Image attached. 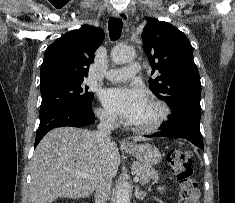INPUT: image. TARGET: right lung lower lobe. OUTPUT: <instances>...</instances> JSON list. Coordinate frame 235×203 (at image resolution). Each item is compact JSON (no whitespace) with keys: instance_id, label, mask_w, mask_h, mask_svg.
<instances>
[{"instance_id":"1","label":"right lung lower lobe","mask_w":235,"mask_h":203,"mask_svg":"<svg viewBox=\"0 0 235 203\" xmlns=\"http://www.w3.org/2000/svg\"><path fill=\"white\" fill-rule=\"evenodd\" d=\"M94 121L95 115L92 112V106L60 105L41 112L35 147L47 132L56 127H83L92 124Z\"/></svg>"}]
</instances>
